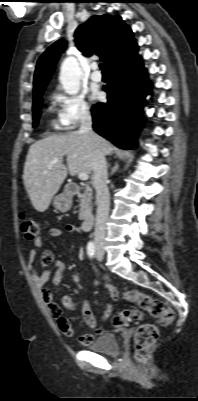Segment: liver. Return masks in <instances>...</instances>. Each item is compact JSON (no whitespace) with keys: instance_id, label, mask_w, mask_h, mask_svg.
<instances>
[{"instance_id":"liver-1","label":"liver","mask_w":198,"mask_h":401,"mask_svg":"<svg viewBox=\"0 0 198 401\" xmlns=\"http://www.w3.org/2000/svg\"><path fill=\"white\" fill-rule=\"evenodd\" d=\"M98 138L103 153H111V144ZM64 156L67 166L64 165ZM55 159L59 161L47 170ZM93 160L94 142L80 130L52 135L32 144L26 157L23 181L33 207L39 212L46 211L68 172L72 176L80 172L90 174ZM45 170L47 173H44Z\"/></svg>"}]
</instances>
